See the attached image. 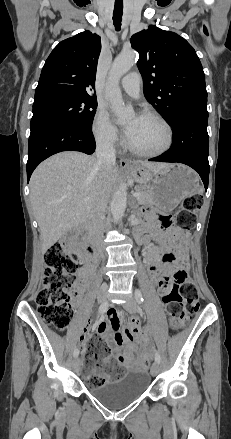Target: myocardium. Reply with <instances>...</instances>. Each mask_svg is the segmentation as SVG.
Returning <instances> with one entry per match:
<instances>
[{"instance_id":"f54148a6","label":"myocardium","mask_w":231,"mask_h":439,"mask_svg":"<svg viewBox=\"0 0 231 439\" xmlns=\"http://www.w3.org/2000/svg\"><path fill=\"white\" fill-rule=\"evenodd\" d=\"M140 116L154 118L164 126L167 133L166 143L159 149L153 151H142L132 147L127 141L126 142L127 149L134 155L144 158L157 157L167 152L172 147L174 142V131L169 121L162 114L153 110H145L140 114Z\"/></svg>"}]
</instances>
